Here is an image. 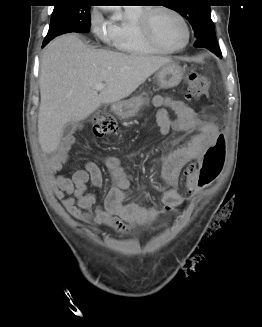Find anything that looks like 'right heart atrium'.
<instances>
[{
  "label": "right heart atrium",
  "instance_id": "1",
  "mask_svg": "<svg viewBox=\"0 0 262 327\" xmlns=\"http://www.w3.org/2000/svg\"><path fill=\"white\" fill-rule=\"evenodd\" d=\"M90 28L92 32L104 41L111 40V27L104 20L103 15L98 11H92L90 14Z\"/></svg>",
  "mask_w": 262,
  "mask_h": 327
}]
</instances>
